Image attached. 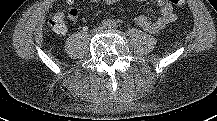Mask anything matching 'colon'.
I'll list each match as a JSON object with an SVG mask.
<instances>
[{"label": "colon", "instance_id": "obj_1", "mask_svg": "<svg viewBox=\"0 0 217 121\" xmlns=\"http://www.w3.org/2000/svg\"><path fill=\"white\" fill-rule=\"evenodd\" d=\"M170 4L174 6H183L185 4V0H168ZM49 26L51 30L59 35H63L66 33V22L65 15L61 11H57L53 13L48 20Z\"/></svg>", "mask_w": 217, "mask_h": 121}]
</instances>
